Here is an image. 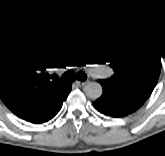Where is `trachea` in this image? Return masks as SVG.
I'll list each match as a JSON object with an SVG mask.
<instances>
[{
	"label": "trachea",
	"instance_id": "3493384b",
	"mask_svg": "<svg viewBox=\"0 0 165 156\" xmlns=\"http://www.w3.org/2000/svg\"><path fill=\"white\" fill-rule=\"evenodd\" d=\"M81 80L85 81L87 79V75L84 72H78L77 74L75 72L69 71L63 74L61 77V82L66 83V82H72L75 80Z\"/></svg>",
	"mask_w": 165,
	"mask_h": 156
}]
</instances>
